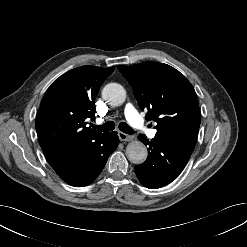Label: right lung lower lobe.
Masks as SVG:
<instances>
[{"mask_svg":"<svg viewBox=\"0 0 247 247\" xmlns=\"http://www.w3.org/2000/svg\"><path fill=\"white\" fill-rule=\"evenodd\" d=\"M118 144L117 132L106 133L92 142L68 148L49 164L69 185L86 186L98 177Z\"/></svg>","mask_w":247,"mask_h":247,"instance_id":"1","label":"right lung lower lobe"}]
</instances>
